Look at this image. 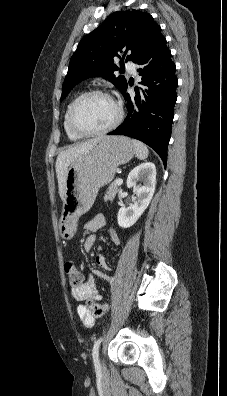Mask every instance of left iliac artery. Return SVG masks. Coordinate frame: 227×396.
Instances as JSON below:
<instances>
[{
    "label": "left iliac artery",
    "mask_w": 227,
    "mask_h": 396,
    "mask_svg": "<svg viewBox=\"0 0 227 396\" xmlns=\"http://www.w3.org/2000/svg\"><path fill=\"white\" fill-rule=\"evenodd\" d=\"M102 338H99L94 346H93V350H92V356H93V362H94V366H95V370L97 373L101 372V366H100V362H99V346L101 343Z\"/></svg>",
    "instance_id": "left-iliac-artery-1"
}]
</instances>
